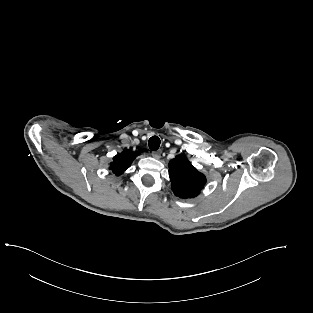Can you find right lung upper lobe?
Returning a JSON list of instances; mask_svg holds the SVG:
<instances>
[{
    "mask_svg": "<svg viewBox=\"0 0 313 313\" xmlns=\"http://www.w3.org/2000/svg\"><path fill=\"white\" fill-rule=\"evenodd\" d=\"M140 155V152H132L126 150L120 154L114 156L113 162H111L109 169L116 175L123 174L131 165L133 160Z\"/></svg>",
    "mask_w": 313,
    "mask_h": 313,
    "instance_id": "obj_1",
    "label": "right lung upper lobe"
}]
</instances>
